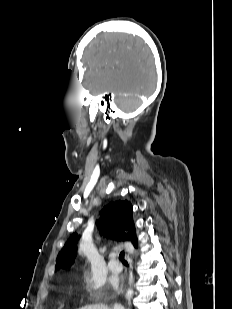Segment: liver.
Returning <instances> with one entry per match:
<instances>
[{
  "instance_id": "liver-1",
  "label": "liver",
  "mask_w": 232,
  "mask_h": 309,
  "mask_svg": "<svg viewBox=\"0 0 232 309\" xmlns=\"http://www.w3.org/2000/svg\"><path fill=\"white\" fill-rule=\"evenodd\" d=\"M79 309H110V308L104 304H95V305L84 306Z\"/></svg>"
}]
</instances>
